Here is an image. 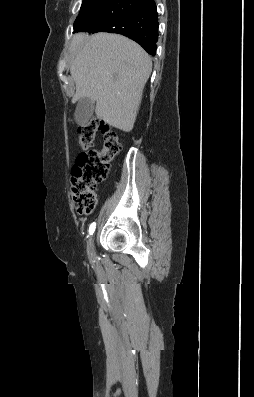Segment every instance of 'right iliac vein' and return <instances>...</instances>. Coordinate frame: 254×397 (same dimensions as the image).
Instances as JSON below:
<instances>
[{
  "instance_id": "obj_1",
  "label": "right iliac vein",
  "mask_w": 254,
  "mask_h": 397,
  "mask_svg": "<svg viewBox=\"0 0 254 397\" xmlns=\"http://www.w3.org/2000/svg\"><path fill=\"white\" fill-rule=\"evenodd\" d=\"M88 252L90 254L94 253V237L92 236L89 243H88Z\"/></svg>"
}]
</instances>
